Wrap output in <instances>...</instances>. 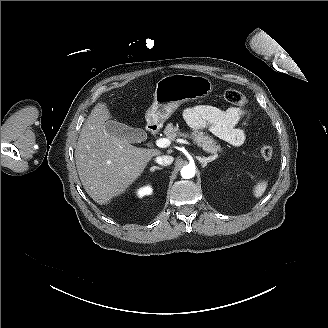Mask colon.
Instances as JSON below:
<instances>
[{
  "mask_svg": "<svg viewBox=\"0 0 328 328\" xmlns=\"http://www.w3.org/2000/svg\"><path fill=\"white\" fill-rule=\"evenodd\" d=\"M224 99L226 102L238 107H243L247 103L246 97L241 92L233 89L224 92ZM260 156L264 160H270L273 156V147L268 144L263 145L260 149Z\"/></svg>",
  "mask_w": 328,
  "mask_h": 328,
  "instance_id": "1",
  "label": "colon"
}]
</instances>
